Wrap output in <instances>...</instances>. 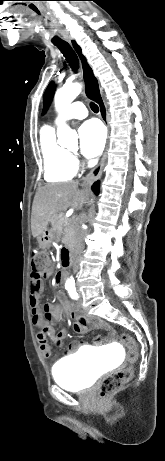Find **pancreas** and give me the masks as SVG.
I'll return each instance as SVG.
<instances>
[{
  "label": "pancreas",
  "mask_w": 165,
  "mask_h": 461,
  "mask_svg": "<svg viewBox=\"0 0 165 461\" xmlns=\"http://www.w3.org/2000/svg\"><path fill=\"white\" fill-rule=\"evenodd\" d=\"M51 225H52V231L55 234V238L57 240H60L61 238L62 242L64 244L70 245L71 244V239L73 236V227L69 226L66 231H64V227L67 225V219L65 218L63 213L58 214L55 218L51 220Z\"/></svg>",
  "instance_id": "cf45deb5"
}]
</instances>
